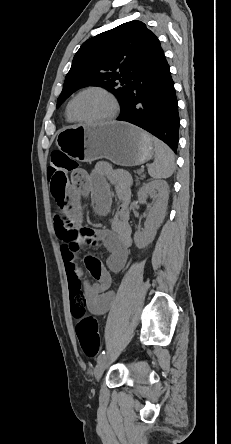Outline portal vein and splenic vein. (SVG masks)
I'll use <instances>...</instances> for the list:
<instances>
[{
	"instance_id": "18ae733b",
	"label": "portal vein and splenic vein",
	"mask_w": 231,
	"mask_h": 444,
	"mask_svg": "<svg viewBox=\"0 0 231 444\" xmlns=\"http://www.w3.org/2000/svg\"><path fill=\"white\" fill-rule=\"evenodd\" d=\"M140 171H141V172H143L144 170H143V169H141Z\"/></svg>"
}]
</instances>
